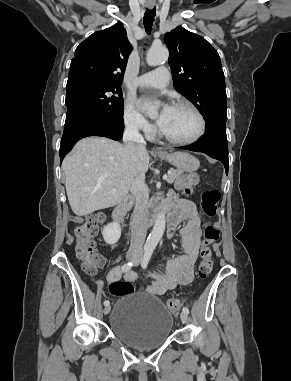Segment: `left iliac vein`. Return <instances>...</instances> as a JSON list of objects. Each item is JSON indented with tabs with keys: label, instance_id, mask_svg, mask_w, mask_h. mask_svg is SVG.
Instances as JSON below:
<instances>
[{
	"label": "left iliac vein",
	"instance_id": "1",
	"mask_svg": "<svg viewBox=\"0 0 291 381\" xmlns=\"http://www.w3.org/2000/svg\"><path fill=\"white\" fill-rule=\"evenodd\" d=\"M139 262H140V256H138V257L136 258V260H135V264L138 265ZM180 318H181V321H182L183 323H186V322L188 321V314L182 312V313L180 314Z\"/></svg>",
	"mask_w": 291,
	"mask_h": 381
}]
</instances>
